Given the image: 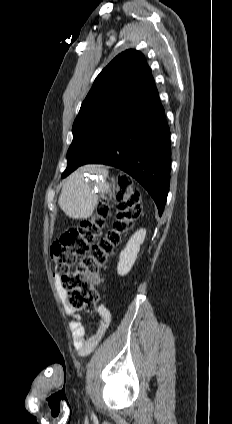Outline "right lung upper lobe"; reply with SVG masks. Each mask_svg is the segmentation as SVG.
I'll return each mask as SVG.
<instances>
[{
  "instance_id": "1",
  "label": "right lung upper lobe",
  "mask_w": 232,
  "mask_h": 424,
  "mask_svg": "<svg viewBox=\"0 0 232 424\" xmlns=\"http://www.w3.org/2000/svg\"><path fill=\"white\" fill-rule=\"evenodd\" d=\"M157 94L144 55L129 49L116 56L97 76L80 112L105 104L133 106Z\"/></svg>"
}]
</instances>
